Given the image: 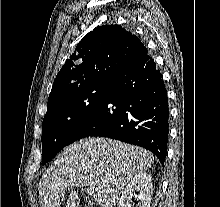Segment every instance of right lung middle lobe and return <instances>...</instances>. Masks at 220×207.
Listing matches in <instances>:
<instances>
[{"label":"right lung middle lobe","instance_id":"right-lung-middle-lobe-1","mask_svg":"<svg viewBox=\"0 0 220 207\" xmlns=\"http://www.w3.org/2000/svg\"><path fill=\"white\" fill-rule=\"evenodd\" d=\"M108 82L81 87L48 102L42 126V164L69 145L75 130L101 102Z\"/></svg>","mask_w":220,"mask_h":207}]
</instances>
